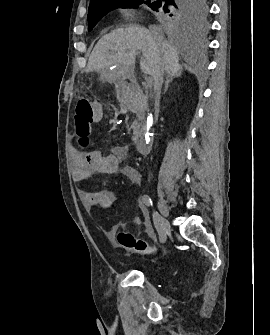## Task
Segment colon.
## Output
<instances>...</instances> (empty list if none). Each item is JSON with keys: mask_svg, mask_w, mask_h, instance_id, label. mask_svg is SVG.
Masks as SVG:
<instances>
[{"mask_svg": "<svg viewBox=\"0 0 270 335\" xmlns=\"http://www.w3.org/2000/svg\"><path fill=\"white\" fill-rule=\"evenodd\" d=\"M77 116H75V133L83 137H89L90 127L93 120V112L89 101L77 102ZM118 244L122 249L129 250L136 253L151 254L154 248L149 245L147 240L135 237L131 233L120 231L118 233Z\"/></svg>", "mask_w": 270, "mask_h": 335, "instance_id": "colon-1", "label": "colon"}]
</instances>
